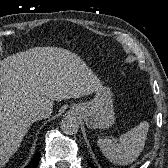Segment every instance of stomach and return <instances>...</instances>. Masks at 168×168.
I'll return each mask as SVG.
<instances>
[{"instance_id": "0dacf381", "label": "stomach", "mask_w": 168, "mask_h": 168, "mask_svg": "<svg viewBox=\"0 0 168 168\" xmlns=\"http://www.w3.org/2000/svg\"><path fill=\"white\" fill-rule=\"evenodd\" d=\"M112 95L110 88L101 86L91 101L75 104L71 109L89 128H108L115 119Z\"/></svg>"}]
</instances>
